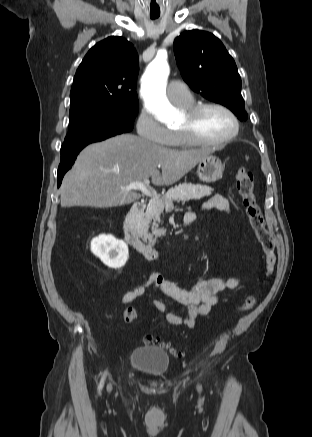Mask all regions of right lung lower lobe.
I'll use <instances>...</instances> for the list:
<instances>
[{
    "mask_svg": "<svg viewBox=\"0 0 312 437\" xmlns=\"http://www.w3.org/2000/svg\"><path fill=\"white\" fill-rule=\"evenodd\" d=\"M88 145V144H86ZM82 146L71 151L61 153V161L58 168V187L61 185L64 174L71 168L78 153L86 146Z\"/></svg>",
    "mask_w": 312,
    "mask_h": 437,
    "instance_id": "right-lung-lower-lobe-1",
    "label": "right lung lower lobe"
}]
</instances>
